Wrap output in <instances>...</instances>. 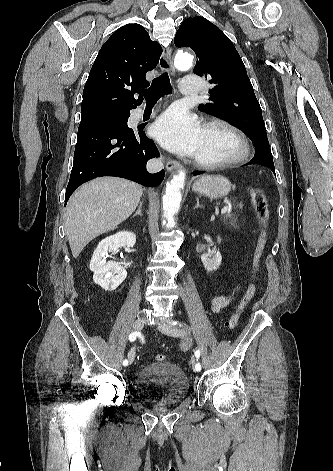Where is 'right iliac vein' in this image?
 Segmentation results:
<instances>
[{
	"label": "right iliac vein",
	"mask_w": 333,
	"mask_h": 471,
	"mask_svg": "<svg viewBox=\"0 0 333 471\" xmlns=\"http://www.w3.org/2000/svg\"><path fill=\"white\" fill-rule=\"evenodd\" d=\"M144 324H145V321L144 319L142 318H138L137 320H135V322L133 323V329L137 332L141 331L144 327ZM128 359H129V362L130 363H133L134 359H135V348H132L130 350V352L128 353Z\"/></svg>",
	"instance_id": "obj_1"
}]
</instances>
